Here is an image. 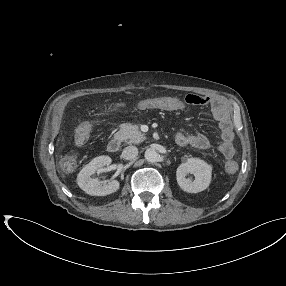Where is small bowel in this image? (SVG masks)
<instances>
[{"instance_id": "c3829d8e", "label": "small bowel", "mask_w": 286, "mask_h": 286, "mask_svg": "<svg viewBox=\"0 0 286 286\" xmlns=\"http://www.w3.org/2000/svg\"><path fill=\"white\" fill-rule=\"evenodd\" d=\"M186 105L209 107L211 109L213 116L220 122L221 127L222 141L219 144V151L225 158H232L235 152L233 144V125L227 106L222 101L211 100L208 97L197 95H188L184 100H180L174 97H159L145 99L139 103L138 107L140 109L180 111L183 110ZM85 123H87L92 128V122ZM175 139L177 144L180 146L189 144L201 150L208 149L211 146L210 141L203 134H188L186 132L179 131L176 134Z\"/></svg>"}]
</instances>
